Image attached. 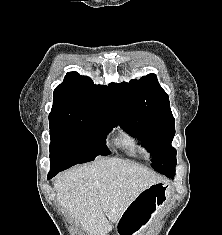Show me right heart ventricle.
<instances>
[{
    "mask_svg": "<svg viewBox=\"0 0 222 235\" xmlns=\"http://www.w3.org/2000/svg\"><path fill=\"white\" fill-rule=\"evenodd\" d=\"M115 143L131 158L144 160L149 156L143 141L130 133H123L116 139Z\"/></svg>",
    "mask_w": 222,
    "mask_h": 235,
    "instance_id": "e07e8e85",
    "label": "right heart ventricle"
}]
</instances>
